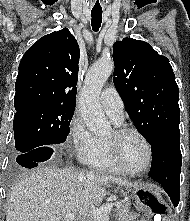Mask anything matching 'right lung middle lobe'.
<instances>
[{
  "label": "right lung middle lobe",
  "instance_id": "obj_1",
  "mask_svg": "<svg viewBox=\"0 0 190 221\" xmlns=\"http://www.w3.org/2000/svg\"><path fill=\"white\" fill-rule=\"evenodd\" d=\"M73 113L74 108L50 105L16 112L13 121L16 149L26 153L41 146L65 142Z\"/></svg>",
  "mask_w": 190,
  "mask_h": 221
}]
</instances>
